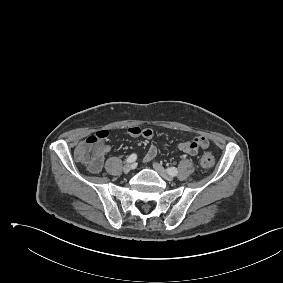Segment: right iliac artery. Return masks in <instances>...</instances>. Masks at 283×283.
Returning a JSON list of instances; mask_svg holds the SVG:
<instances>
[{"label": "right iliac artery", "mask_w": 283, "mask_h": 283, "mask_svg": "<svg viewBox=\"0 0 283 283\" xmlns=\"http://www.w3.org/2000/svg\"><path fill=\"white\" fill-rule=\"evenodd\" d=\"M136 159H137V155L133 153V154H131V155L126 159V162L132 163V162H134Z\"/></svg>", "instance_id": "obj_1"}]
</instances>
